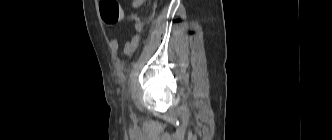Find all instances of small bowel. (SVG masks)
<instances>
[{"label": "small bowel", "instance_id": "obj_1", "mask_svg": "<svg viewBox=\"0 0 332 140\" xmlns=\"http://www.w3.org/2000/svg\"><path fill=\"white\" fill-rule=\"evenodd\" d=\"M146 0H132L131 4L132 7L135 9L140 8ZM139 44V36L138 34L133 35L130 39L125 41L124 43V53L127 56H132L133 53L136 51ZM109 45L112 50L118 51L119 49V41L117 38H112L109 42Z\"/></svg>", "mask_w": 332, "mask_h": 140}]
</instances>
